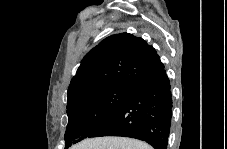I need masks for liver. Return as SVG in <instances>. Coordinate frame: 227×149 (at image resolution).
I'll list each match as a JSON object with an SVG mask.
<instances>
[{
  "label": "liver",
  "instance_id": "1",
  "mask_svg": "<svg viewBox=\"0 0 227 149\" xmlns=\"http://www.w3.org/2000/svg\"><path fill=\"white\" fill-rule=\"evenodd\" d=\"M75 149H152L145 142L124 137H98L82 141Z\"/></svg>",
  "mask_w": 227,
  "mask_h": 149
}]
</instances>
